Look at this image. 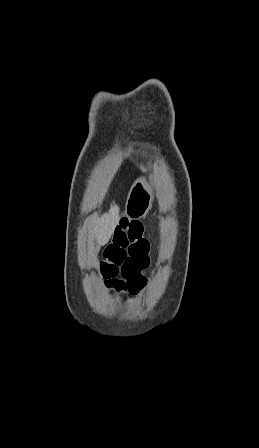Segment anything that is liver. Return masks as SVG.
<instances>
[{
	"mask_svg": "<svg viewBox=\"0 0 259 448\" xmlns=\"http://www.w3.org/2000/svg\"><path fill=\"white\" fill-rule=\"evenodd\" d=\"M119 224V208L118 206H111L107 214H103L99 220H95L90 234L95 238L98 246L97 250H100V246H105L109 242L111 236L114 234V230Z\"/></svg>",
	"mask_w": 259,
	"mask_h": 448,
	"instance_id": "1",
	"label": "liver"
}]
</instances>
